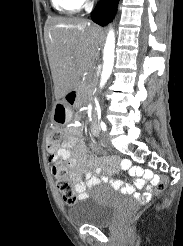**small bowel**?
I'll list each match as a JSON object with an SVG mask.
<instances>
[{
	"mask_svg": "<svg viewBox=\"0 0 183 246\" xmlns=\"http://www.w3.org/2000/svg\"><path fill=\"white\" fill-rule=\"evenodd\" d=\"M91 132L94 136H98L99 129L96 124H92ZM49 161L51 163L62 161L67 164L80 200L88 196L87 188L101 183L110 184L114 189L127 195L138 196L137 190H140L144 192V197H147L151 188L145 182H161L160 174H153L152 170H143V167H133V162L127 159L120 161V167L124 169V174H132V177L136 178L134 184H125L121 180H113L100 173L92 175L90 170L95 166L96 159L87 151L79 131L73 128L67 130V139L61 147L50 151ZM107 171L110 173L112 169L108 168ZM81 174L84 176V181L80 180ZM141 175H145L144 179L140 178Z\"/></svg>",
	"mask_w": 183,
	"mask_h": 246,
	"instance_id": "1",
	"label": "small bowel"
}]
</instances>
